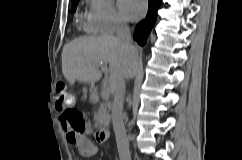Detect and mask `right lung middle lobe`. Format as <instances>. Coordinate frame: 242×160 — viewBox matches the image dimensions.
<instances>
[{
	"mask_svg": "<svg viewBox=\"0 0 242 160\" xmlns=\"http://www.w3.org/2000/svg\"><path fill=\"white\" fill-rule=\"evenodd\" d=\"M78 1H79V0H73V1H72V7H73V10L76 9V6H77V4H78Z\"/></svg>",
	"mask_w": 242,
	"mask_h": 160,
	"instance_id": "1",
	"label": "right lung middle lobe"
}]
</instances>
